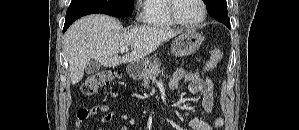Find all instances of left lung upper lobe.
Returning <instances> with one entry per match:
<instances>
[{"instance_id": "obj_1", "label": "left lung upper lobe", "mask_w": 299, "mask_h": 130, "mask_svg": "<svg viewBox=\"0 0 299 130\" xmlns=\"http://www.w3.org/2000/svg\"><path fill=\"white\" fill-rule=\"evenodd\" d=\"M204 2L212 17L220 22L229 21L226 0H204Z\"/></svg>"}]
</instances>
